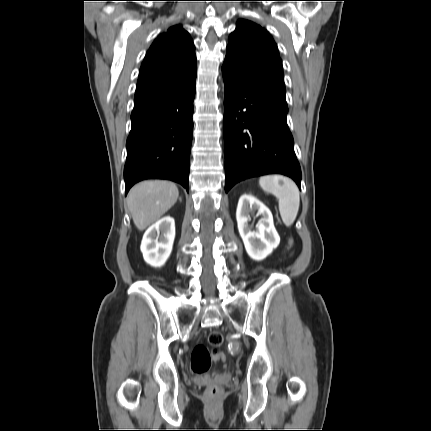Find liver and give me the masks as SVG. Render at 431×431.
Returning <instances> with one entry per match:
<instances>
[{
    "instance_id": "obj_1",
    "label": "liver",
    "mask_w": 431,
    "mask_h": 431,
    "mask_svg": "<svg viewBox=\"0 0 431 431\" xmlns=\"http://www.w3.org/2000/svg\"><path fill=\"white\" fill-rule=\"evenodd\" d=\"M177 186L169 181L148 180L136 184L128 193L127 206L138 230L159 220L177 201Z\"/></svg>"
}]
</instances>
